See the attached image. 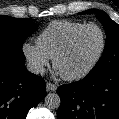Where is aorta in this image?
I'll list each match as a JSON object with an SVG mask.
<instances>
[{"label": "aorta", "mask_w": 119, "mask_h": 119, "mask_svg": "<svg viewBox=\"0 0 119 119\" xmlns=\"http://www.w3.org/2000/svg\"><path fill=\"white\" fill-rule=\"evenodd\" d=\"M44 102L48 109H58L61 104V99L58 94L49 93L46 95Z\"/></svg>", "instance_id": "obj_1"}]
</instances>
